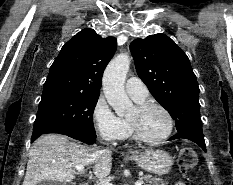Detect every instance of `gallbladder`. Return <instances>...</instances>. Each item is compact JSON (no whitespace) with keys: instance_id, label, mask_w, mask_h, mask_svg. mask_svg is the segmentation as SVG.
<instances>
[{"instance_id":"gallbladder-1","label":"gallbladder","mask_w":233,"mask_h":185,"mask_svg":"<svg viewBox=\"0 0 233 185\" xmlns=\"http://www.w3.org/2000/svg\"><path fill=\"white\" fill-rule=\"evenodd\" d=\"M37 185H67V184L60 183V182L49 181V180H42Z\"/></svg>"}]
</instances>
